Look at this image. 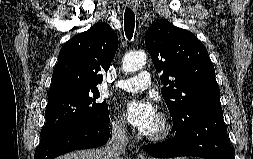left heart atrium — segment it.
Returning a JSON list of instances; mask_svg holds the SVG:
<instances>
[{"label": "left heart atrium", "instance_id": "1", "mask_svg": "<svg viewBox=\"0 0 253 159\" xmlns=\"http://www.w3.org/2000/svg\"><path fill=\"white\" fill-rule=\"evenodd\" d=\"M124 111L129 123L142 134H149L158 119L156 107L151 100H128Z\"/></svg>", "mask_w": 253, "mask_h": 159}]
</instances>
